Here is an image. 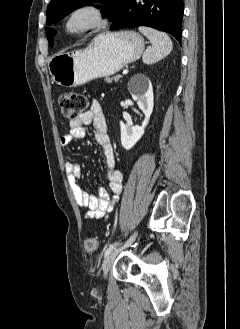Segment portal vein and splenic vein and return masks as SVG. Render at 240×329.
I'll use <instances>...</instances> for the list:
<instances>
[{
    "label": "portal vein and splenic vein",
    "mask_w": 240,
    "mask_h": 329,
    "mask_svg": "<svg viewBox=\"0 0 240 329\" xmlns=\"http://www.w3.org/2000/svg\"><path fill=\"white\" fill-rule=\"evenodd\" d=\"M128 73V69H124L122 75H126Z\"/></svg>",
    "instance_id": "18ae733b"
}]
</instances>
